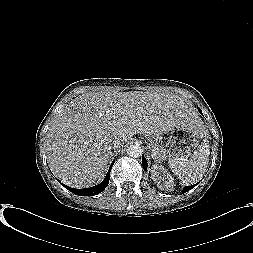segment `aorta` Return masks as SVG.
<instances>
[{
  "label": "aorta",
  "mask_w": 253,
  "mask_h": 253,
  "mask_svg": "<svg viewBox=\"0 0 253 253\" xmlns=\"http://www.w3.org/2000/svg\"><path fill=\"white\" fill-rule=\"evenodd\" d=\"M127 154H128V156H130L132 158L140 157L142 155V148L138 144L130 145L127 148Z\"/></svg>",
  "instance_id": "obj_1"
}]
</instances>
